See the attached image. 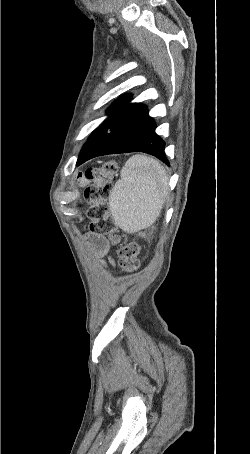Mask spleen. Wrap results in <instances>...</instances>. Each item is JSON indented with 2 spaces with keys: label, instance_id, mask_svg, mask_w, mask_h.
<instances>
[{
  "label": "spleen",
  "instance_id": "spleen-1",
  "mask_svg": "<svg viewBox=\"0 0 250 454\" xmlns=\"http://www.w3.org/2000/svg\"><path fill=\"white\" fill-rule=\"evenodd\" d=\"M109 195L115 224L128 233L150 227L160 216L168 191V176L155 159L134 155L127 160Z\"/></svg>",
  "mask_w": 250,
  "mask_h": 454
}]
</instances>
